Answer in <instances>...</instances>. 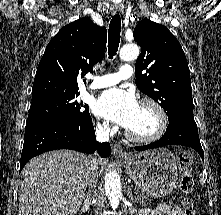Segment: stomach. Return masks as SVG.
<instances>
[{
  "mask_svg": "<svg viewBox=\"0 0 221 215\" xmlns=\"http://www.w3.org/2000/svg\"><path fill=\"white\" fill-rule=\"evenodd\" d=\"M120 162L147 196L161 198L170 194L176 187V158L166 148L127 154Z\"/></svg>",
  "mask_w": 221,
  "mask_h": 215,
  "instance_id": "obj_1",
  "label": "stomach"
}]
</instances>
